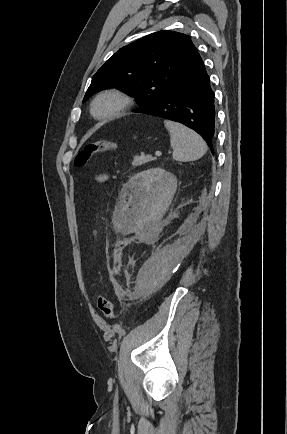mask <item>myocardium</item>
Instances as JSON below:
<instances>
[{
    "label": "myocardium",
    "mask_w": 287,
    "mask_h": 434,
    "mask_svg": "<svg viewBox=\"0 0 287 434\" xmlns=\"http://www.w3.org/2000/svg\"><path fill=\"white\" fill-rule=\"evenodd\" d=\"M131 99L119 89H106L97 93L91 101L94 118L110 120L121 116L130 106Z\"/></svg>",
    "instance_id": "myocardium-1"
}]
</instances>
